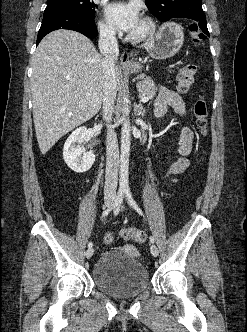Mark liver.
<instances>
[{"mask_svg":"<svg viewBox=\"0 0 247 332\" xmlns=\"http://www.w3.org/2000/svg\"><path fill=\"white\" fill-rule=\"evenodd\" d=\"M102 62L93 43L75 31H53L38 45L32 60L31 91L36 138L42 154L101 108ZM120 75L121 69L116 66V89Z\"/></svg>","mask_w":247,"mask_h":332,"instance_id":"6515ba94","label":"liver"}]
</instances>
